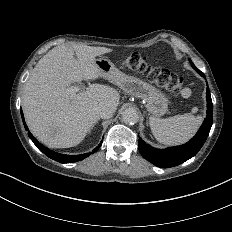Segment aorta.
<instances>
[{
	"mask_svg": "<svg viewBox=\"0 0 232 232\" xmlns=\"http://www.w3.org/2000/svg\"><path fill=\"white\" fill-rule=\"evenodd\" d=\"M122 120L126 124H135L139 121L138 112L134 108H127L122 113Z\"/></svg>",
	"mask_w": 232,
	"mask_h": 232,
	"instance_id": "762f6f07",
	"label": "aorta"
}]
</instances>
